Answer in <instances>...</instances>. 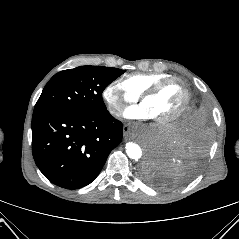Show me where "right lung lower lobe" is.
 <instances>
[{
    "label": "right lung lower lobe",
    "mask_w": 239,
    "mask_h": 239,
    "mask_svg": "<svg viewBox=\"0 0 239 239\" xmlns=\"http://www.w3.org/2000/svg\"><path fill=\"white\" fill-rule=\"evenodd\" d=\"M122 123L107 110L34 112L32 153L53 184L78 189L100 173L109 153L122 141Z\"/></svg>",
    "instance_id": "obj_1"
}]
</instances>
